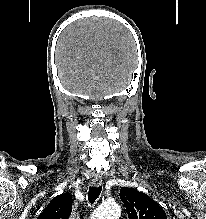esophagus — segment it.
Masks as SVG:
<instances>
[{"label":"esophagus","instance_id":"obj_1","mask_svg":"<svg viewBox=\"0 0 206 219\" xmlns=\"http://www.w3.org/2000/svg\"><path fill=\"white\" fill-rule=\"evenodd\" d=\"M92 186L99 187L102 185V177L100 175H96L91 182Z\"/></svg>","mask_w":206,"mask_h":219}]
</instances>
